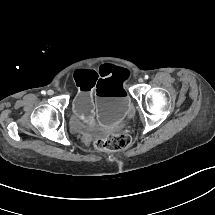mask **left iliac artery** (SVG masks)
Wrapping results in <instances>:
<instances>
[{
  "label": "left iliac artery",
  "instance_id": "left-iliac-artery-1",
  "mask_svg": "<svg viewBox=\"0 0 215 215\" xmlns=\"http://www.w3.org/2000/svg\"><path fill=\"white\" fill-rule=\"evenodd\" d=\"M145 79H148V75H145Z\"/></svg>",
  "mask_w": 215,
  "mask_h": 215
}]
</instances>
